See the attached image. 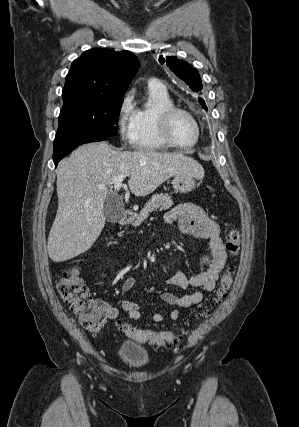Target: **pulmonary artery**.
<instances>
[{
  "label": "pulmonary artery",
  "instance_id": "1",
  "mask_svg": "<svg viewBox=\"0 0 299 427\" xmlns=\"http://www.w3.org/2000/svg\"><path fill=\"white\" fill-rule=\"evenodd\" d=\"M149 86H151V87H153V88H156V89H159V90H166V87H165L164 83H163V82H161V81H160V80H158V79H152V80L149 82Z\"/></svg>",
  "mask_w": 299,
  "mask_h": 427
}]
</instances>
